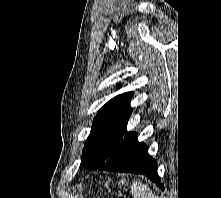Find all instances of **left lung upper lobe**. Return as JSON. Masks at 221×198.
Listing matches in <instances>:
<instances>
[{
	"label": "left lung upper lobe",
	"instance_id": "obj_1",
	"mask_svg": "<svg viewBox=\"0 0 221 198\" xmlns=\"http://www.w3.org/2000/svg\"><path fill=\"white\" fill-rule=\"evenodd\" d=\"M132 95L133 92L118 95L99 110L85 142L80 168L99 169L135 133L126 128L133 111L129 106Z\"/></svg>",
	"mask_w": 221,
	"mask_h": 198
}]
</instances>
